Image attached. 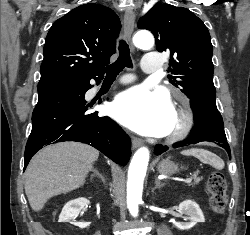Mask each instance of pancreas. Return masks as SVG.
Segmentation results:
<instances>
[{
  "mask_svg": "<svg viewBox=\"0 0 250 235\" xmlns=\"http://www.w3.org/2000/svg\"><path fill=\"white\" fill-rule=\"evenodd\" d=\"M201 181V178H195L194 185L198 184Z\"/></svg>",
  "mask_w": 250,
  "mask_h": 235,
  "instance_id": "obj_1",
  "label": "pancreas"
}]
</instances>
